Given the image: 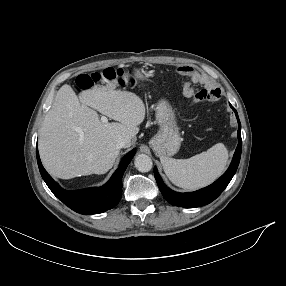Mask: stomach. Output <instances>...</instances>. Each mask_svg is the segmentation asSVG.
<instances>
[{"mask_svg": "<svg viewBox=\"0 0 286 286\" xmlns=\"http://www.w3.org/2000/svg\"><path fill=\"white\" fill-rule=\"evenodd\" d=\"M135 77L143 80L147 75L140 69H136ZM155 117L160 129L150 140V146L157 156H172L179 151L181 145L175 110L168 101L161 99L155 105Z\"/></svg>", "mask_w": 286, "mask_h": 286, "instance_id": "stomach-1", "label": "stomach"}]
</instances>
